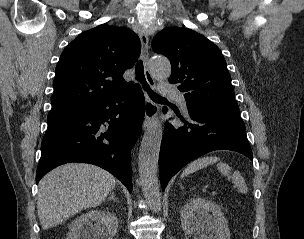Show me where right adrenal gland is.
Wrapping results in <instances>:
<instances>
[{
    "label": "right adrenal gland",
    "mask_w": 304,
    "mask_h": 239,
    "mask_svg": "<svg viewBox=\"0 0 304 239\" xmlns=\"http://www.w3.org/2000/svg\"><path fill=\"white\" fill-rule=\"evenodd\" d=\"M109 199L111 200H115L116 202H119V200L117 199V197L115 196L114 193L111 194V196L109 197Z\"/></svg>",
    "instance_id": "2a0ac1e0"
}]
</instances>
